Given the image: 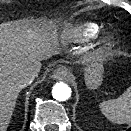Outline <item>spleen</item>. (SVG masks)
<instances>
[{
  "label": "spleen",
  "instance_id": "obj_1",
  "mask_svg": "<svg viewBox=\"0 0 131 131\" xmlns=\"http://www.w3.org/2000/svg\"><path fill=\"white\" fill-rule=\"evenodd\" d=\"M99 107L111 122L118 124L131 122V86L118 98L101 102Z\"/></svg>",
  "mask_w": 131,
  "mask_h": 131
}]
</instances>
